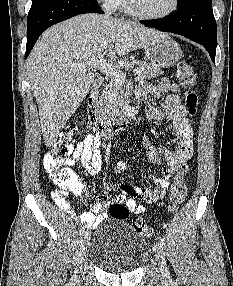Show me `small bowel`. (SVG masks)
<instances>
[{"label": "small bowel", "instance_id": "small-bowel-1", "mask_svg": "<svg viewBox=\"0 0 233 286\" xmlns=\"http://www.w3.org/2000/svg\"><path fill=\"white\" fill-rule=\"evenodd\" d=\"M136 94L141 99H145L148 95L164 99L162 107L148 105L146 115L147 118L156 121L167 119L170 129L169 139L175 144V149L169 148L166 144H162L158 148L147 142L144 144L148 160L147 174L156 187L142 189L127 182L118 184L121 194L117 197V201L124 203L131 211L141 212L143 207L137 203V199L157 201L163 198L169 188L170 179L179 170L180 165L192 156L193 132L187 121L184 96L179 86L170 79L164 78L157 85L141 83L137 87ZM101 145L102 138L100 134L87 135L83 141L76 144L73 155L66 164L73 165L76 161H79L90 174H97L103 163L100 151ZM125 168V163L121 162L117 166V171L121 172ZM155 168H158L159 176L154 173ZM71 191L76 195H81L84 202L92 208V211L81 215V222L96 227L104 220L105 197L93 198L89 192L83 190L82 186ZM52 197L58 207L67 214L74 216L71 205L66 200V191L55 190Z\"/></svg>", "mask_w": 233, "mask_h": 286}]
</instances>
